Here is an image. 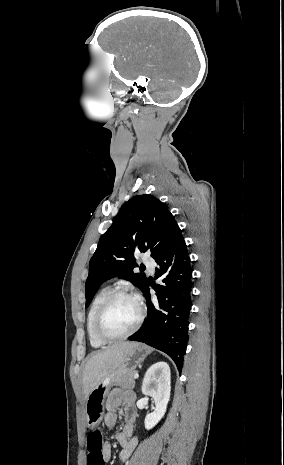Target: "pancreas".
Here are the masks:
<instances>
[{
	"label": "pancreas",
	"instance_id": "cf45deb5",
	"mask_svg": "<svg viewBox=\"0 0 284 465\" xmlns=\"http://www.w3.org/2000/svg\"><path fill=\"white\" fill-rule=\"evenodd\" d=\"M136 373L137 371H131V373H127V375H118L116 387H121L123 391H130V389H134V375H136Z\"/></svg>",
	"mask_w": 284,
	"mask_h": 465
}]
</instances>
